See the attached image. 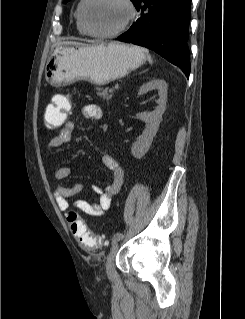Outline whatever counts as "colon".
I'll list each match as a JSON object with an SVG mask.
<instances>
[{
	"mask_svg": "<svg viewBox=\"0 0 245 319\" xmlns=\"http://www.w3.org/2000/svg\"><path fill=\"white\" fill-rule=\"evenodd\" d=\"M69 110V100L64 96H57L54 103L47 107L44 121L48 128L57 129L65 123ZM67 221L78 243L88 250H98L104 243L100 235L92 233L76 211L70 210Z\"/></svg>",
	"mask_w": 245,
	"mask_h": 319,
	"instance_id": "5ec220e1",
	"label": "colon"
}]
</instances>
